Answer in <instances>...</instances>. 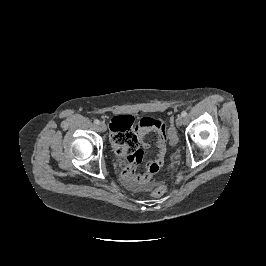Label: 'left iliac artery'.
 Instances as JSON below:
<instances>
[{
  "mask_svg": "<svg viewBox=\"0 0 266 266\" xmlns=\"http://www.w3.org/2000/svg\"><path fill=\"white\" fill-rule=\"evenodd\" d=\"M181 115H182L183 117H186V116H187V112H186V111H183V112L181 113Z\"/></svg>",
  "mask_w": 266,
  "mask_h": 266,
  "instance_id": "1",
  "label": "left iliac artery"
}]
</instances>
